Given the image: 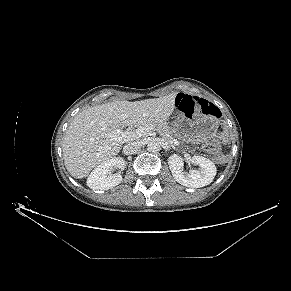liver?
Returning a JSON list of instances; mask_svg holds the SVG:
<instances>
[{"mask_svg": "<svg viewBox=\"0 0 291 291\" xmlns=\"http://www.w3.org/2000/svg\"><path fill=\"white\" fill-rule=\"evenodd\" d=\"M177 93L141 101H114L89 107L77 114L63 139L62 151L67 171L82 179L98 165L116 156L121 143L109 135L123 126L168 119L175 109Z\"/></svg>", "mask_w": 291, "mask_h": 291, "instance_id": "obj_1", "label": "liver"}]
</instances>
